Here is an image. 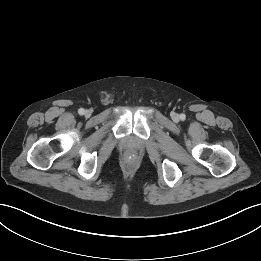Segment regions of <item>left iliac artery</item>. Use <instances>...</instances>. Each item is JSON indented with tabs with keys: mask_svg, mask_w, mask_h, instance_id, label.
Segmentation results:
<instances>
[{
	"mask_svg": "<svg viewBox=\"0 0 261 261\" xmlns=\"http://www.w3.org/2000/svg\"><path fill=\"white\" fill-rule=\"evenodd\" d=\"M185 118H186L185 114H181V115H180V119H181V120H185Z\"/></svg>",
	"mask_w": 261,
	"mask_h": 261,
	"instance_id": "obj_1",
	"label": "left iliac artery"
}]
</instances>
